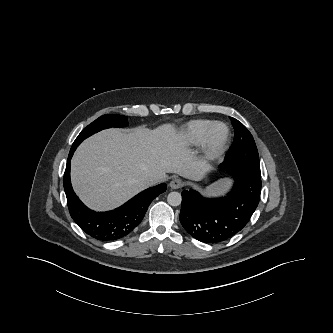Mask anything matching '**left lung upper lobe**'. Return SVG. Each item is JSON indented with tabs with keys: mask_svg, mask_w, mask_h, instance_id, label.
Returning <instances> with one entry per match:
<instances>
[{
	"mask_svg": "<svg viewBox=\"0 0 333 333\" xmlns=\"http://www.w3.org/2000/svg\"><path fill=\"white\" fill-rule=\"evenodd\" d=\"M231 120L235 129V144L228 152L227 160L243 164L261 174L258 151L251 133L235 118Z\"/></svg>",
	"mask_w": 333,
	"mask_h": 333,
	"instance_id": "left-lung-upper-lobe-1",
	"label": "left lung upper lobe"
}]
</instances>
